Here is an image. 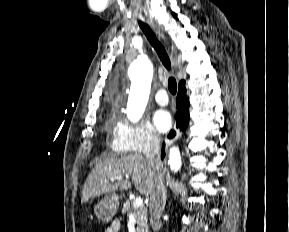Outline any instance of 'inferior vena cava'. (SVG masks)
<instances>
[{
	"label": "inferior vena cava",
	"instance_id": "602c4592",
	"mask_svg": "<svg viewBox=\"0 0 289 232\" xmlns=\"http://www.w3.org/2000/svg\"><path fill=\"white\" fill-rule=\"evenodd\" d=\"M160 137L153 135L149 147L145 152V157L149 163L157 168H162V162L160 157ZM166 203V188L164 185L163 174H158L154 190L150 193L149 211H150V224L154 232H157L161 228L160 217L164 211Z\"/></svg>",
	"mask_w": 289,
	"mask_h": 232
}]
</instances>
